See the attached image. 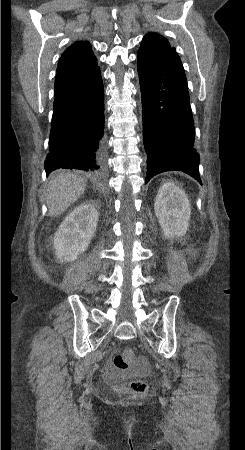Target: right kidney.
<instances>
[{
	"label": "right kidney",
	"mask_w": 245,
	"mask_h": 450,
	"mask_svg": "<svg viewBox=\"0 0 245 450\" xmlns=\"http://www.w3.org/2000/svg\"><path fill=\"white\" fill-rule=\"evenodd\" d=\"M99 213L90 203L76 207L61 223L54 236V249L60 262L74 261L90 244Z\"/></svg>",
	"instance_id": "1"
}]
</instances>
